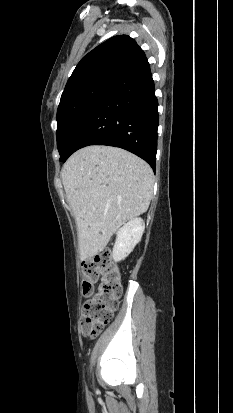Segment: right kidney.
Returning <instances> with one entry per match:
<instances>
[{
    "mask_svg": "<svg viewBox=\"0 0 233 413\" xmlns=\"http://www.w3.org/2000/svg\"><path fill=\"white\" fill-rule=\"evenodd\" d=\"M145 223L142 218H134L121 227L116 236L112 257L114 261L124 260L140 242Z\"/></svg>",
    "mask_w": 233,
    "mask_h": 413,
    "instance_id": "obj_1",
    "label": "right kidney"
}]
</instances>
